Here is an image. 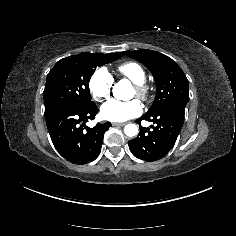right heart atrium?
I'll return each instance as SVG.
<instances>
[{
  "label": "right heart atrium",
  "instance_id": "right-heart-atrium-1",
  "mask_svg": "<svg viewBox=\"0 0 236 236\" xmlns=\"http://www.w3.org/2000/svg\"><path fill=\"white\" fill-rule=\"evenodd\" d=\"M113 86V78L104 69L96 70L89 80V90L92 99L97 103H103L110 98Z\"/></svg>",
  "mask_w": 236,
  "mask_h": 236
}]
</instances>
